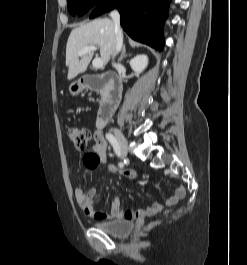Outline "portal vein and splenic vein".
Segmentation results:
<instances>
[{
  "label": "portal vein and splenic vein",
  "instance_id": "portal-vein-and-splenic-vein-1",
  "mask_svg": "<svg viewBox=\"0 0 247 265\" xmlns=\"http://www.w3.org/2000/svg\"><path fill=\"white\" fill-rule=\"evenodd\" d=\"M97 50L96 46H87L85 48H83L82 50H80L78 52L79 56H83L84 54L90 52V51H95ZM92 65L94 68L98 69V68H102L103 67V60L101 58H95L92 62Z\"/></svg>",
  "mask_w": 247,
  "mask_h": 265
}]
</instances>
